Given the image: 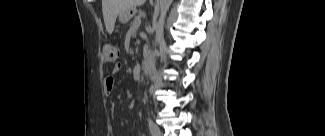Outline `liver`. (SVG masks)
<instances>
[{
    "instance_id": "1",
    "label": "liver",
    "mask_w": 325,
    "mask_h": 136,
    "mask_svg": "<svg viewBox=\"0 0 325 136\" xmlns=\"http://www.w3.org/2000/svg\"><path fill=\"white\" fill-rule=\"evenodd\" d=\"M145 3V0H102V12L106 30L113 33L117 15Z\"/></svg>"
}]
</instances>
